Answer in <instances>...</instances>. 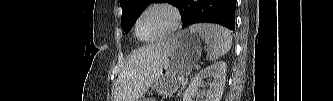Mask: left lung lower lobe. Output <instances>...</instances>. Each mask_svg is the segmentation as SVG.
<instances>
[{
    "label": "left lung lower lobe",
    "mask_w": 333,
    "mask_h": 101,
    "mask_svg": "<svg viewBox=\"0 0 333 101\" xmlns=\"http://www.w3.org/2000/svg\"><path fill=\"white\" fill-rule=\"evenodd\" d=\"M235 0H181L183 28L194 23H217L235 31Z\"/></svg>",
    "instance_id": "left-lung-lower-lobe-1"
}]
</instances>
